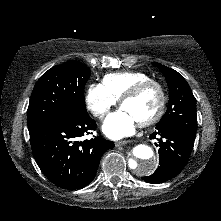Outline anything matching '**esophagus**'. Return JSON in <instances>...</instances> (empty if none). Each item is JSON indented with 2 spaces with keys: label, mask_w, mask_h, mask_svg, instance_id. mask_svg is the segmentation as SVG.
<instances>
[{
  "label": "esophagus",
  "mask_w": 221,
  "mask_h": 221,
  "mask_svg": "<svg viewBox=\"0 0 221 221\" xmlns=\"http://www.w3.org/2000/svg\"><path fill=\"white\" fill-rule=\"evenodd\" d=\"M130 142H131L130 140L117 141V142L115 143V146H116V147L123 146V145H125V144L130 143Z\"/></svg>",
  "instance_id": "34e87169"
}]
</instances>
